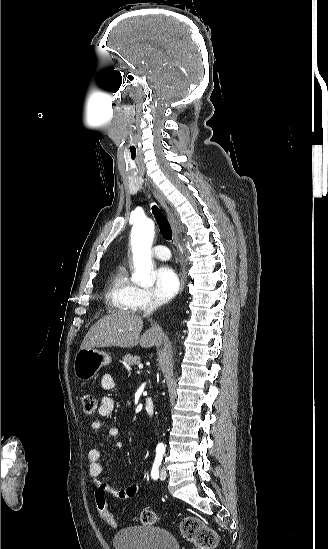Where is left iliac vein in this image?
<instances>
[{
    "instance_id": "1",
    "label": "left iliac vein",
    "mask_w": 328,
    "mask_h": 549,
    "mask_svg": "<svg viewBox=\"0 0 328 549\" xmlns=\"http://www.w3.org/2000/svg\"><path fill=\"white\" fill-rule=\"evenodd\" d=\"M166 475H167V474H166V468H165V467H162V468L160 469V479H161V480H164V479L166 478Z\"/></svg>"
}]
</instances>
